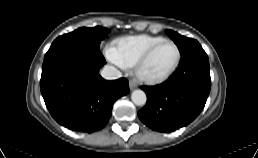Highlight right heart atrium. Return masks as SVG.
Wrapping results in <instances>:
<instances>
[{
  "instance_id": "1",
  "label": "right heart atrium",
  "mask_w": 258,
  "mask_h": 158,
  "mask_svg": "<svg viewBox=\"0 0 258 158\" xmlns=\"http://www.w3.org/2000/svg\"><path fill=\"white\" fill-rule=\"evenodd\" d=\"M107 55L114 64H116L120 68H126V66L117 59L116 52L113 48L107 50Z\"/></svg>"
}]
</instances>
